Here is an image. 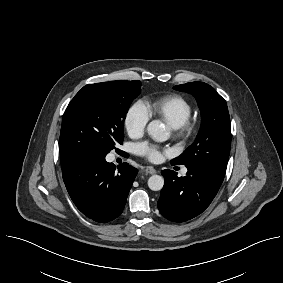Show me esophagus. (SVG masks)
Listing matches in <instances>:
<instances>
[{
	"instance_id": "1",
	"label": "esophagus",
	"mask_w": 283,
	"mask_h": 283,
	"mask_svg": "<svg viewBox=\"0 0 283 283\" xmlns=\"http://www.w3.org/2000/svg\"><path fill=\"white\" fill-rule=\"evenodd\" d=\"M145 172L148 173V174H156L157 171L156 169H154L153 167L149 166L145 169Z\"/></svg>"
}]
</instances>
